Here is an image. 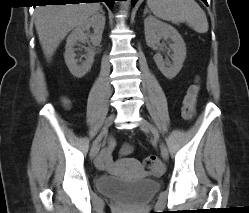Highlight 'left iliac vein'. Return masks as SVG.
<instances>
[{
  "instance_id": "4c4485c4",
  "label": "left iliac vein",
  "mask_w": 249,
  "mask_h": 213,
  "mask_svg": "<svg viewBox=\"0 0 249 213\" xmlns=\"http://www.w3.org/2000/svg\"><path fill=\"white\" fill-rule=\"evenodd\" d=\"M139 127L145 132H152L155 135V137L158 138V136L156 135L158 134L157 131L152 127V125L147 120L142 119L139 123ZM160 149H161V156L166 161L168 159L169 154L167 147L165 146L164 143H160Z\"/></svg>"
}]
</instances>
